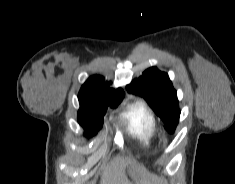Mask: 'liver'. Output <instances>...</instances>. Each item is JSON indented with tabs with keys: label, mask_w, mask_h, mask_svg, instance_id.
<instances>
[{
	"label": "liver",
	"mask_w": 235,
	"mask_h": 184,
	"mask_svg": "<svg viewBox=\"0 0 235 184\" xmlns=\"http://www.w3.org/2000/svg\"><path fill=\"white\" fill-rule=\"evenodd\" d=\"M128 164H132L130 158H124V156H116L111 160L110 164H107L104 170V176L101 180V184H131L125 176V168ZM140 184H159L157 176L153 174H147L143 172L142 180Z\"/></svg>",
	"instance_id": "6515ba94"
}]
</instances>
